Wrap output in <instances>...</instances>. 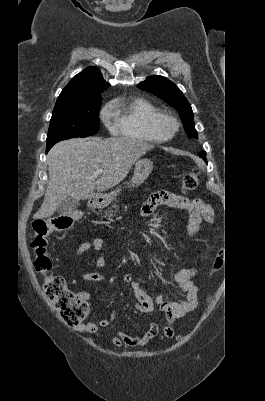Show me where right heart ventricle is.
Returning a JSON list of instances; mask_svg holds the SVG:
<instances>
[{
    "label": "right heart ventricle",
    "instance_id": "right-heart-ventricle-1",
    "mask_svg": "<svg viewBox=\"0 0 265 401\" xmlns=\"http://www.w3.org/2000/svg\"><path fill=\"white\" fill-rule=\"evenodd\" d=\"M110 110L116 117L115 133L128 138L157 141L150 122L160 111L146 98L122 93L111 101Z\"/></svg>",
    "mask_w": 265,
    "mask_h": 401
}]
</instances>
